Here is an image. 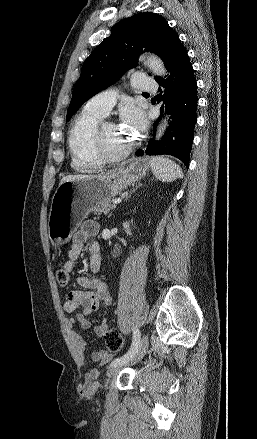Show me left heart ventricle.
Listing matches in <instances>:
<instances>
[{
  "label": "left heart ventricle",
  "mask_w": 257,
  "mask_h": 439,
  "mask_svg": "<svg viewBox=\"0 0 257 439\" xmlns=\"http://www.w3.org/2000/svg\"><path fill=\"white\" fill-rule=\"evenodd\" d=\"M106 147L112 152H117L130 144L128 137L114 124H106L103 127Z\"/></svg>",
  "instance_id": "obj_1"
}]
</instances>
